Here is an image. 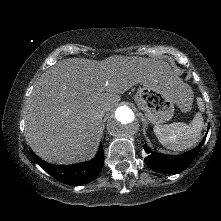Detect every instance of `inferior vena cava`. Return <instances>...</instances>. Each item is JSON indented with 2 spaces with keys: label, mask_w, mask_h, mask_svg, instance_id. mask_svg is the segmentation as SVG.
<instances>
[{
  "label": "inferior vena cava",
  "mask_w": 221,
  "mask_h": 221,
  "mask_svg": "<svg viewBox=\"0 0 221 221\" xmlns=\"http://www.w3.org/2000/svg\"><path fill=\"white\" fill-rule=\"evenodd\" d=\"M106 112H107L106 108H103V109H101V110H99V111L97 112V116H98L99 118H102V117L105 115Z\"/></svg>",
  "instance_id": "1"
}]
</instances>
